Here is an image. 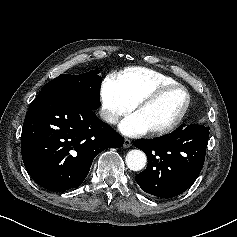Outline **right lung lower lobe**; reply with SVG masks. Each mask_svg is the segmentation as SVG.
<instances>
[{"label":"right lung lower lobe","mask_w":237,"mask_h":237,"mask_svg":"<svg viewBox=\"0 0 237 237\" xmlns=\"http://www.w3.org/2000/svg\"><path fill=\"white\" fill-rule=\"evenodd\" d=\"M124 138L94 110L60 94L39 93L30 104L21 134L25 168L41 187L76 188L93 159L104 149L119 148Z\"/></svg>","instance_id":"1"}]
</instances>
